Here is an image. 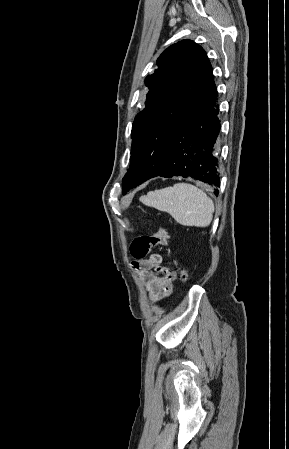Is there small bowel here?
Returning a JSON list of instances; mask_svg holds the SVG:
<instances>
[{
  "label": "small bowel",
  "mask_w": 289,
  "mask_h": 449,
  "mask_svg": "<svg viewBox=\"0 0 289 449\" xmlns=\"http://www.w3.org/2000/svg\"><path fill=\"white\" fill-rule=\"evenodd\" d=\"M162 257L152 254L143 259H132L133 268L145 282L146 290L153 302L159 301L172 293L176 273L167 266L161 265Z\"/></svg>",
  "instance_id": "obj_1"
}]
</instances>
